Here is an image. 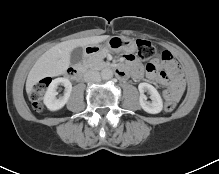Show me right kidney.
Masks as SVG:
<instances>
[{
	"label": "right kidney",
	"instance_id": "right-kidney-1",
	"mask_svg": "<svg viewBox=\"0 0 219 174\" xmlns=\"http://www.w3.org/2000/svg\"><path fill=\"white\" fill-rule=\"evenodd\" d=\"M63 85L65 87V92L63 96L57 98L58 92L56 91L58 85ZM72 91V84L67 78H56L52 80L50 85L47 88V91L44 95V104L50 111H56L64 107L67 103L70 94Z\"/></svg>",
	"mask_w": 219,
	"mask_h": 174
}]
</instances>
